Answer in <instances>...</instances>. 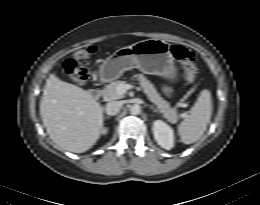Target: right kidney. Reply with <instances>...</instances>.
Listing matches in <instances>:
<instances>
[{
  "mask_svg": "<svg viewBox=\"0 0 260 205\" xmlns=\"http://www.w3.org/2000/svg\"><path fill=\"white\" fill-rule=\"evenodd\" d=\"M107 132H108V129H107V128H104V129L102 130V134H107Z\"/></svg>",
  "mask_w": 260,
  "mask_h": 205,
  "instance_id": "1",
  "label": "right kidney"
}]
</instances>
